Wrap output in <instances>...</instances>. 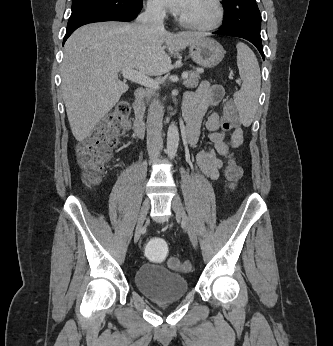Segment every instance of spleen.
<instances>
[{"label": "spleen", "instance_id": "1", "mask_svg": "<svg viewBox=\"0 0 333 346\" xmlns=\"http://www.w3.org/2000/svg\"><path fill=\"white\" fill-rule=\"evenodd\" d=\"M237 66L243 81L241 89L235 93L234 102L244 125L252 123L260 95V67L253 51L244 43H237Z\"/></svg>", "mask_w": 333, "mask_h": 346}]
</instances>
